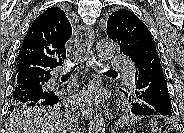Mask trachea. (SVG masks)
I'll return each instance as SVG.
<instances>
[{
    "mask_svg": "<svg viewBox=\"0 0 184 133\" xmlns=\"http://www.w3.org/2000/svg\"><path fill=\"white\" fill-rule=\"evenodd\" d=\"M107 72H116L115 70L108 69Z\"/></svg>",
    "mask_w": 184,
    "mask_h": 133,
    "instance_id": "obj_1",
    "label": "trachea"
}]
</instances>
